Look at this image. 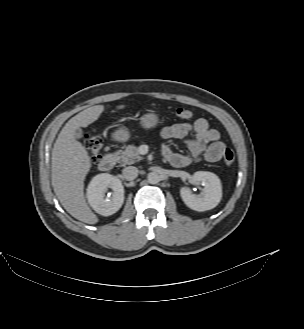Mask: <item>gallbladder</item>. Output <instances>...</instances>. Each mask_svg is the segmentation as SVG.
I'll return each mask as SVG.
<instances>
[{
	"instance_id": "gallbladder-1",
	"label": "gallbladder",
	"mask_w": 304,
	"mask_h": 329,
	"mask_svg": "<svg viewBox=\"0 0 304 329\" xmlns=\"http://www.w3.org/2000/svg\"><path fill=\"white\" fill-rule=\"evenodd\" d=\"M82 136H83V132H82L81 129L78 128V129L75 131V138H76V139H81Z\"/></svg>"
}]
</instances>
